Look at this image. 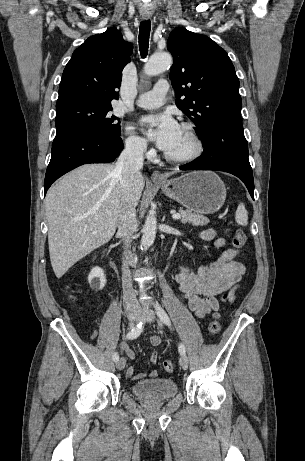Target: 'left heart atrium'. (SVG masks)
Segmentation results:
<instances>
[{"label":"left heart atrium","mask_w":305,"mask_h":461,"mask_svg":"<svg viewBox=\"0 0 305 461\" xmlns=\"http://www.w3.org/2000/svg\"><path fill=\"white\" fill-rule=\"evenodd\" d=\"M141 122L148 128L149 137L164 151L173 145L180 129L176 120L168 113L146 116Z\"/></svg>","instance_id":"left-heart-atrium-1"}]
</instances>
